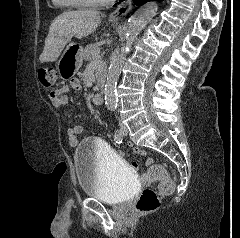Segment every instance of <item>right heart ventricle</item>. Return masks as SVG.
I'll return each mask as SVG.
<instances>
[{
	"label": "right heart ventricle",
	"instance_id": "e07e8e85",
	"mask_svg": "<svg viewBox=\"0 0 240 238\" xmlns=\"http://www.w3.org/2000/svg\"><path fill=\"white\" fill-rule=\"evenodd\" d=\"M51 1L55 6L58 7H71L68 4H66L63 0H51Z\"/></svg>",
	"mask_w": 240,
	"mask_h": 238
}]
</instances>
